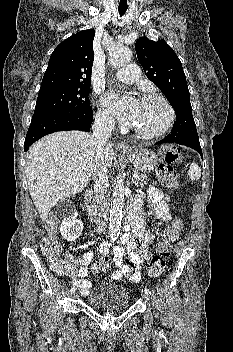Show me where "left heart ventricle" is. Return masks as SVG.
Returning <instances> with one entry per match:
<instances>
[{
    "instance_id": "b2bd125f",
    "label": "left heart ventricle",
    "mask_w": 233,
    "mask_h": 352,
    "mask_svg": "<svg viewBox=\"0 0 233 352\" xmlns=\"http://www.w3.org/2000/svg\"><path fill=\"white\" fill-rule=\"evenodd\" d=\"M168 119V111L164 104L156 99L141 100L137 109L133 126L146 132L157 131Z\"/></svg>"
}]
</instances>
